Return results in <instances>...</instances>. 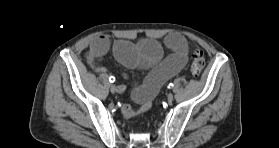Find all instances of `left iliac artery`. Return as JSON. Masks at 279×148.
Here are the masks:
<instances>
[{"label":"left iliac artery","instance_id":"44dca946","mask_svg":"<svg viewBox=\"0 0 279 148\" xmlns=\"http://www.w3.org/2000/svg\"><path fill=\"white\" fill-rule=\"evenodd\" d=\"M173 86H174L173 83H170V84L168 85V88H169V89H172Z\"/></svg>","mask_w":279,"mask_h":148}]
</instances>
